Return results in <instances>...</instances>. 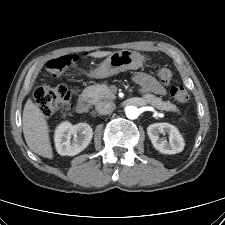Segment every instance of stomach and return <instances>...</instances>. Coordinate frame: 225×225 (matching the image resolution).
Instances as JSON below:
<instances>
[{
    "mask_svg": "<svg viewBox=\"0 0 225 225\" xmlns=\"http://www.w3.org/2000/svg\"><path fill=\"white\" fill-rule=\"evenodd\" d=\"M144 61V57L136 51L120 50L110 54L91 75L96 78H106L126 70L139 69Z\"/></svg>",
    "mask_w": 225,
    "mask_h": 225,
    "instance_id": "stomach-1",
    "label": "stomach"
}]
</instances>
